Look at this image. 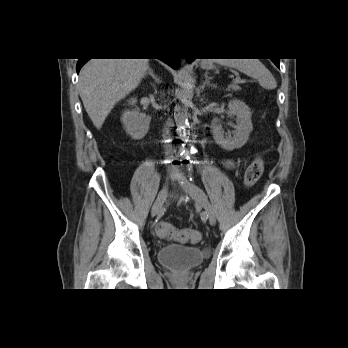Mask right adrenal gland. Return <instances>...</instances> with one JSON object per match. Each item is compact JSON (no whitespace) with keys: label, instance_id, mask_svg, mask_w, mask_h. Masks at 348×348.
Segmentation results:
<instances>
[{"label":"right adrenal gland","instance_id":"right-adrenal-gland-1","mask_svg":"<svg viewBox=\"0 0 348 348\" xmlns=\"http://www.w3.org/2000/svg\"><path fill=\"white\" fill-rule=\"evenodd\" d=\"M145 75H150L152 77V79H154L155 83H157V84L161 83L160 78H158L154 74L153 69L151 67H148L147 72L145 73ZM153 87L155 88V85H153Z\"/></svg>","mask_w":348,"mask_h":348}]
</instances>
